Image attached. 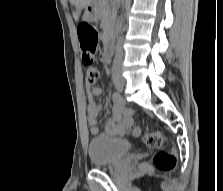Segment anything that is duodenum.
<instances>
[{
	"label": "duodenum",
	"instance_id": "1",
	"mask_svg": "<svg viewBox=\"0 0 223 191\" xmlns=\"http://www.w3.org/2000/svg\"><path fill=\"white\" fill-rule=\"evenodd\" d=\"M86 12L89 15H93L95 10L92 6H88L86 8ZM111 48H112V41H111V38L109 36H107L105 38V42H104V54L107 58H109V56L111 54Z\"/></svg>",
	"mask_w": 223,
	"mask_h": 191
}]
</instances>
